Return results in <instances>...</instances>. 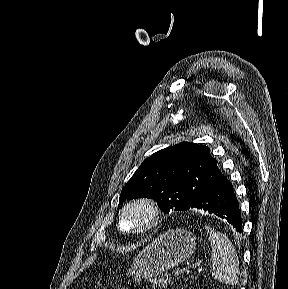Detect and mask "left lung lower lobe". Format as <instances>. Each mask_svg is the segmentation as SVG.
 I'll use <instances>...</instances> for the list:
<instances>
[{
	"instance_id": "1",
	"label": "left lung lower lobe",
	"mask_w": 288,
	"mask_h": 289,
	"mask_svg": "<svg viewBox=\"0 0 288 289\" xmlns=\"http://www.w3.org/2000/svg\"><path fill=\"white\" fill-rule=\"evenodd\" d=\"M190 208L203 209L226 219L238 232L242 220L239 203L229 180L221 175L208 186L190 205Z\"/></svg>"
}]
</instances>
